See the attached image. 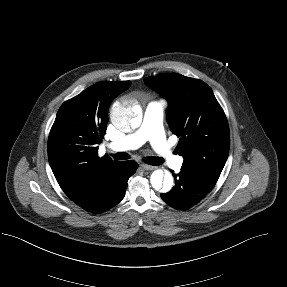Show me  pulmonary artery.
Masks as SVG:
<instances>
[{
    "label": "pulmonary artery",
    "instance_id": "obj_1",
    "mask_svg": "<svg viewBox=\"0 0 287 287\" xmlns=\"http://www.w3.org/2000/svg\"><path fill=\"white\" fill-rule=\"evenodd\" d=\"M165 106L166 102L163 100L151 101L145 109L141 126L131 134L111 142L109 148L113 151H125L136 149L149 141L168 166L175 169L180 168L183 159L173 154L162 128Z\"/></svg>",
    "mask_w": 287,
    "mask_h": 287
}]
</instances>
